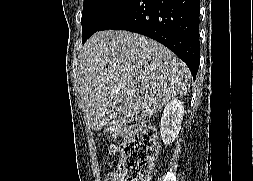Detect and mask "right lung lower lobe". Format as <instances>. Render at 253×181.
Returning <instances> with one entry per match:
<instances>
[{
	"mask_svg": "<svg viewBox=\"0 0 253 181\" xmlns=\"http://www.w3.org/2000/svg\"><path fill=\"white\" fill-rule=\"evenodd\" d=\"M199 10L200 0H129L97 31L127 30L155 39L184 61L195 79ZM93 33L83 35V42Z\"/></svg>",
	"mask_w": 253,
	"mask_h": 181,
	"instance_id": "right-lung-lower-lobe-1",
	"label": "right lung lower lobe"
}]
</instances>
